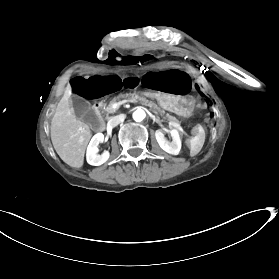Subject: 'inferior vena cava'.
Returning <instances> with one entry per match:
<instances>
[{
    "label": "inferior vena cava",
    "instance_id": "inferior-vena-cava-1",
    "mask_svg": "<svg viewBox=\"0 0 279 279\" xmlns=\"http://www.w3.org/2000/svg\"><path fill=\"white\" fill-rule=\"evenodd\" d=\"M124 114H121V115H118V116H115V117H112L109 121H108V124H107V129H110V128H113L115 126H117L119 123H123L124 121Z\"/></svg>",
    "mask_w": 279,
    "mask_h": 279
}]
</instances>
